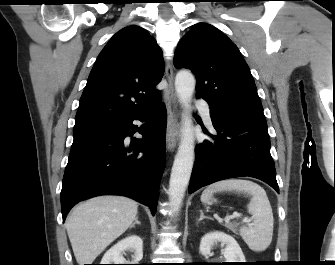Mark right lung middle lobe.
<instances>
[{
	"label": "right lung middle lobe",
	"instance_id": "obj_1",
	"mask_svg": "<svg viewBox=\"0 0 335 265\" xmlns=\"http://www.w3.org/2000/svg\"><path fill=\"white\" fill-rule=\"evenodd\" d=\"M102 125H84V126H74L73 134L93 130L101 127Z\"/></svg>",
	"mask_w": 335,
	"mask_h": 265
}]
</instances>
